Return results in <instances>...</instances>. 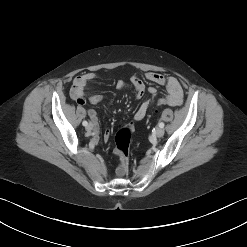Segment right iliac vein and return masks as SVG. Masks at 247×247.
<instances>
[{
	"mask_svg": "<svg viewBox=\"0 0 247 247\" xmlns=\"http://www.w3.org/2000/svg\"><path fill=\"white\" fill-rule=\"evenodd\" d=\"M93 128H94V125H93L92 123H89V124L86 126V130L89 131V132L92 131Z\"/></svg>",
	"mask_w": 247,
	"mask_h": 247,
	"instance_id": "63e3f726",
	"label": "right iliac vein"
}]
</instances>
